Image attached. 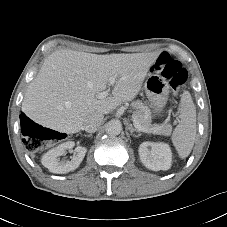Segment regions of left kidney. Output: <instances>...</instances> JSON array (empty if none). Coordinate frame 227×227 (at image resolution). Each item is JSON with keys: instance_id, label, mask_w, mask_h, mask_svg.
I'll list each match as a JSON object with an SVG mask.
<instances>
[{"instance_id": "obj_1", "label": "left kidney", "mask_w": 227, "mask_h": 227, "mask_svg": "<svg viewBox=\"0 0 227 227\" xmlns=\"http://www.w3.org/2000/svg\"><path fill=\"white\" fill-rule=\"evenodd\" d=\"M139 156L150 170H168L171 167L172 152L166 143L143 142L139 147Z\"/></svg>"}]
</instances>
